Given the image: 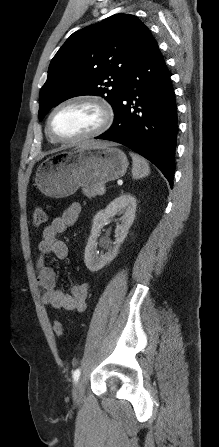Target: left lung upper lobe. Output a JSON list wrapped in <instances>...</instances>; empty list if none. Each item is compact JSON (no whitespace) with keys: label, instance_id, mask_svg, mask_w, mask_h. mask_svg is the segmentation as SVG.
Masks as SVG:
<instances>
[{"label":"left lung upper lobe","instance_id":"obj_1","mask_svg":"<svg viewBox=\"0 0 219 447\" xmlns=\"http://www.w3.org/2000/svg\"><path fill=\"white\" fill-rule=\"evenodd\" d=\"M152 37L136 16L115 14L74 32L52 59L41 88L39 120L79 95H99L118 106L133 63Z\"/></svg>","mask_w":219,"mask_h":447}]
</instances>
